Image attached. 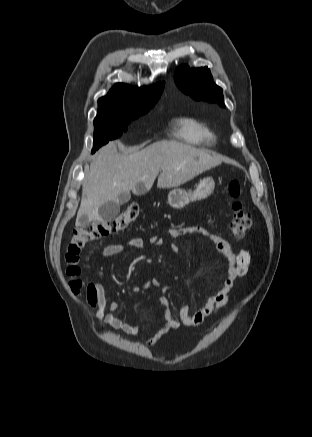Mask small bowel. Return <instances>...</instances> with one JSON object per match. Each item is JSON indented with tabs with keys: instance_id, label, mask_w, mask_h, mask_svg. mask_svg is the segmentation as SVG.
<instances>
[{
	"instance_id": "obj_1",
	"label": "small bowel",
	"mask_w": 312,
	"mask_h": 437,
	"mask_svg": "<svg viewBox=\"0 0 312 437\" xmlns=\"http://www.w3.org/2000/svg\"><path fill=\"white\" fill-rule=\"evenodd\" d=\"M183 235H199L210 240L216 250L223 254L228 260V270L221 288L211 294L202 306L193 311L189 305H183L178 311V316H176L172 311L168 298L165 295L160 296L159 303L163 307L165 321L158 331L146 341L147 345L155 344L162 337L178 329L181 325L191 327L199 326L207 317L219 311L227 304L234 281L247 274L251 263L249 250L243 249L238 253L233 252L228 241L202 226L172 227L167 230V236L171 240L178 239ZM151 240L154 243H159L162 239L153 236ZM145 245L146 243L142 238H131L123 243L105 246L101 251V256L109 258L122 253L126 247L143 249ZM171 247L175 252H179L180 250L179 245L176 243H172ZM159 286L160 282L157 279H151L144 282L142 288L149 289ZM140 290L141 288L138 286L132 288V292L134 293ZM166 291H168V287L163 286L162 292L165 293ZM87 303L90 308L96 309V317L100 321L110 328L121 331L126 335H136L150 327L148 318L141 319L135 324H130L115 316L113 312L118 309V304L115 302L108 303L106 290L99 282L88 283ZM107 310L110 312H107ZM103 331L107 332L105 329Z\"/></svg>"
}]
</instances>
